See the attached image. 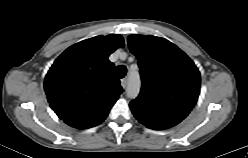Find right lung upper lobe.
Wrapping results in <instances>:
<instances>
[{
  "mask_svg": "<svg viewBox=\"0 0 248 158\" xmlns=\"http://www.w3.org/2000/svg\"><path fill=\"white\" fill-rule=\"evenodd\" d=\"M119 34L97 36L66 49L48 71L44 88L51 108L77 129L102 123L123 92L108 56L123 46Z\"/></svg>",
  "mask_w": 248,
  "mask_h": 158,
  "instance_id": "cb5924a9",
  "label": "right lung upper lobe"
}]
</instances>
